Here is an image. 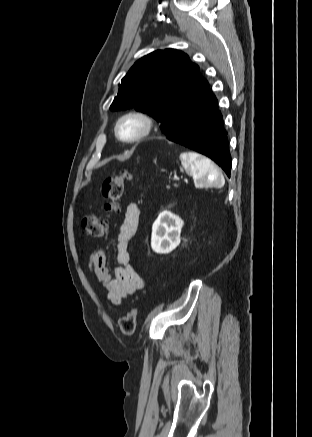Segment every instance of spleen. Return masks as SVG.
Wrapping results in <instances>:
<instances>
[{"instance_id":"3e777b00","label":"spleen","mask_w":312,"mask_h":437,"mask_svg":"<svg viewBox=\"0 0 312 437\" xmlns=\"http://www.w3.org/2000/svg\"><path fill=\"white\" fill-rule=\"evenodd\" d=\"M182 168L200 186L222 188L225 184L221 170L209 159L195 152L180 154Z\"/></svg>"}]
</instances>
